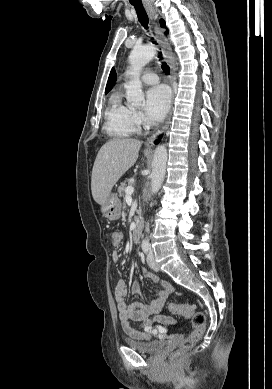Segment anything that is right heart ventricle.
<instances>
[{"instance_id": "e07e8e85", "label": "right heart ventricle", "mask_w": 272, "mask_h": 389, "mask_svg": "<svg viewBox=\"0 0 272 389\" xmlns=\"http://www.w3.org/2000/svg\"><path fill=\"white\" fill-rule=\"evenodd\" d=\"M105 131L111 137L122 139L137 132L134 110L122 100L120 91L113 93L105 110Z\"/></svg>"}]
</instances>
